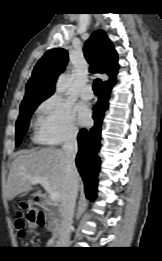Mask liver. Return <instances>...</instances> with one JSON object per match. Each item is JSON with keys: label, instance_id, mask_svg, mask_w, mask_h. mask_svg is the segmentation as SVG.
<instances>
[{"label": "liver", "instance_id": "liver-1", "mask_svg": "<svg viewBox=\"0 0 162 261\" xmlns=\"http://www.w3.org/2000/svg\"><path fill=\"white\" fill-rule=\"evenodd\" d=\"M32 177L46 178L53 190L59 193L61 201L66 186L64 151L57 148H41L21 152L11 165L7 180V198L12 200L18 194L36 189L30 182ZM79 182L78 175V184ZM40 193L41 190L37 188L35 194Z\"/></svg>", "mask_w": 162, "mask_h": 261}]
</instances>
